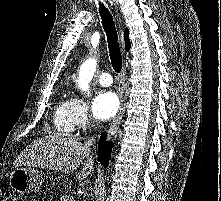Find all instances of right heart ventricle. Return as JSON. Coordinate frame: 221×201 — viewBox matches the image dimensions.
<instances>
[{
  "instance_id": "right-heart-ventricle-1",
  "label": "right heart ventricle",
  "mask_w": 221,
  "mask_h": 201,
  "mask_svg": "<svg viewBox=\"0 0 221 201\" xmlns=\"http://www.w3.org/2000/svg\"><path fill=\"white\" fill-rule=\"evenodd\" d=\"M54 125L63 134H69L74 130L70 99L61 100L57 104L54 113Z\"/></svg>"
}]
</instances>
